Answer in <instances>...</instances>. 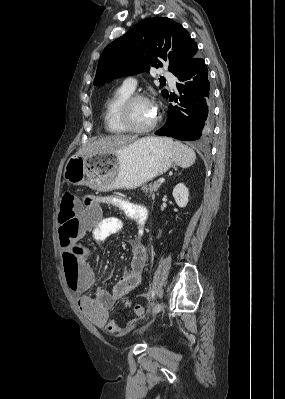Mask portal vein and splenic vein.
Segmentation results:
<instances>
[{
    "label": "portal vein and splenic vein",
    "mask_w": 285,
    "mask_h": 399,
    "mask_svg": "<svg viewBox=\"0 0 285 399\" xmlns=\"http://www.w3.org/2000/svg\"><path fill=\"white\" fill-rule=\"evenodd\" d=\"M164 181H165V179L160 178V179L158 180V183H164Z\"/></svg>",
    "instance_id": "1"
}]
</instances>
